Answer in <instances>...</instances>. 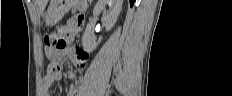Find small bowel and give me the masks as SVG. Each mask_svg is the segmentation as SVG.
<instances>
[{
	"label": "small bowel",
	"instance_id": "c3829d8e",
	"mask_svg": "<svg viewBox=\"0 0 232 96\" xmlns=\"http://www.w3.org/2000/svg\"><path fill=\"white\" fill-rule=\"evenodd\" d=\"M77 15H69V20H72L66 25L62 31V34L65 37L66 43H77L78 39L73 38L74 35H82L83 31L82 27H85V22L83 20H87L86 11H77ZM47 53V50H46ZM72 58L75 62V66L78 71L82 72L87 63V54L82 49H76L71 52ZM62 78V73L60 69L55 73H48L44 76L42 82V94L48 95L50 91V87L54 82L60 80ZM69 96H78V92L75 88H71L69 91Z\"/></svg>",
	"mask_w": 232,
	"mask_h": 96
}]
</instances>
